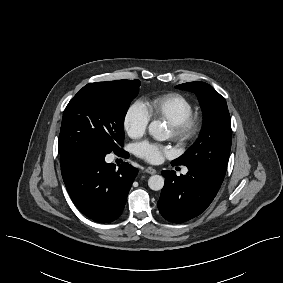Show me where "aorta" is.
<instances>
[{
  "label": "aorta",
  "mask_w": 283,
  "mask_h": 283,
  "mask_svg": "<svg viewBox=\"0 0 283 283\" xmlns=\"http://www.w3.org/2000/svg\"><path fill=\"white\" fill-rule=\"evenodd\" d=\"M149 134L157 141H164L168 138L165 127L160 121H152L148 126ZM151 190L159 191L164 186V178L160 175H153L148 180Z\"/></svg>",
  "instance_id": "1"
}]
</instances>
